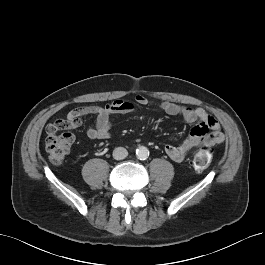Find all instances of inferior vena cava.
Segmentation results:
<instances>
[{"instance_id":"inferior-vena-cava-1","label":"inferior vena cava","mask_w":265,"mask_h":265,"mask_svg":"<svg viewBox=\"0 0 265 265\" xmlns=\"http://www.w3.org/2000/svg\"><path fill=\"white\" fill-rule=\"evenodd\" d=\"M128 156V151L123 147H117L113 151V158L116 160H122Z\"/></svg>"}]
</instances>
